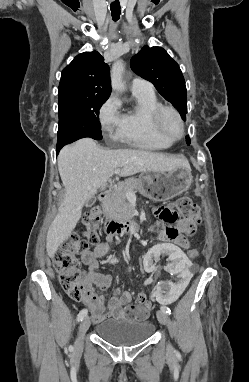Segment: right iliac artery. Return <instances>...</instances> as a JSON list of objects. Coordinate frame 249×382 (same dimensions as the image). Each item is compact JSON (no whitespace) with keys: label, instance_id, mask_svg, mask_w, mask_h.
<instances>
[{"label":"right iliac artery","instance_id":"obj_1","mask_svg":"<svg viewBox=\"0 0 249 382\" xmlns=\"http://www.w3.org/2000/svg\"><path fill=\"white\" fill-rule=\"evenodd\" d=\"M112 262H116V259L112 260ZM87 313V309H82L77 316V321H82L87 316Z\"/></svg>","mask_w":249,"mask_h":382}]
</instances>
